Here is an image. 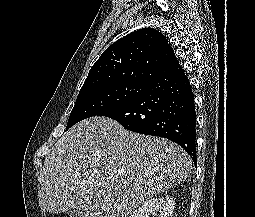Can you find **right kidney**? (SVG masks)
Masks as SVG:
<instances>
[{
	"instance_id": "obj_1",
	"label": "right kidney",
	"mask_w": 255,
	"mask_h": 217,
	"mask_svg": "<svg viewBox=\"0 0 255 217\" xmlns=\"http://www.w3.org/2000/svg\"><path fill=\"white\" fill-rule=\"evenodd\" d=\"M174 206L175 200L169 195L153 198L134 210L130 217H149L157 212L159 217H171Z\"/></svg>"
}]
</instances>
